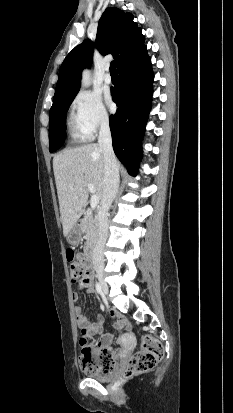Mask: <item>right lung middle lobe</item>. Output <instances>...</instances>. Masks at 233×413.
Masks as SVG:
<instances>
[{"label":"right lung middle lobe","instance_id":"1","mask_svg":"<svg viewBox=\"0 0 233 413\" xmlns=\"http://www.w3.org/2000/svg\"><path fill=\"white\" fill-rule=\"evenodd\" d=\"M75 96L54 103L50 109L49 117V150L54 152L65 141V117Z\"/></svg>","mask_w":233,"mask_h":413}]
</instances>
